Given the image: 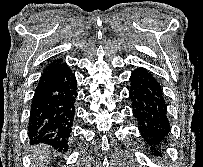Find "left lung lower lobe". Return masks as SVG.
Returning <instances> with one entry per match:
<instances>
[{"label": "left lung lower lobe", "instance_id": "obj_1", "mask_svg": "<svg viewBox=\"0 0 203 167\" xmlns=\"http://www.w3.org/2000/svg\"><path fill=\"white\" fill-rule=\"evenodd\" d=\"M129 96L143 141L156 150L167 142L170 131L161 86L151 72L139 67L131 74Z\"/></svg>", "mask_w": 203, "mask_h": 167}]
</instances>
